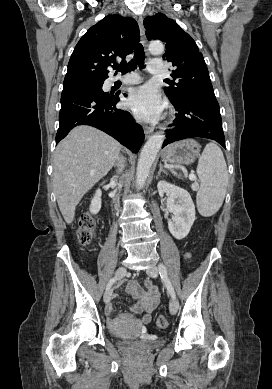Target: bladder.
Here are the masks:
<instances>
[{
  "mask_svg": "<svg viewBox=\"0 0 272 389\" xmlns=\"http://www.w3.org/2000/svg\"><path fill=\"white\" fill-rule=\"evenodd\" d=\"M109 334L111 337L115 338L118 347L127 352L149 351L157 347H160L164 344V341L161 339L145 340V341H136L131 339H118V334L113 330H109Z\"/></svg>",
  "mask_w": 272,
  "mask_h": 389,
  "instance_id": "1",
  "label": "bladder"
}]
</instances>
